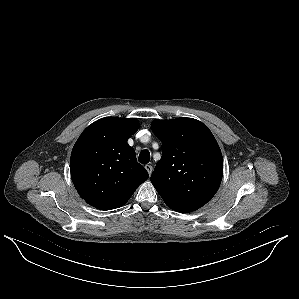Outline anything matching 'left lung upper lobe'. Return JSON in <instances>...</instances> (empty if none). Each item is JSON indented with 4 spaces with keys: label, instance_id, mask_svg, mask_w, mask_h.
Returning a JSON list of instances; mask_svg holds the SVG:
<instances>
[{
    "label": "left lung upper lobe",
    "instance_id": "left-lung-upper-lobe-1",
    "mask_svg": "<svg viewBox=\"0 0 299 299\" xmlns=\"http://www.w3.org/2000/svg\"><path fill=\"white\" fill-rule=\"evenodd\" d=\"M154 134L162 141V158L151 182L166 205L188 213L205 205L218 190L223 158L209 128L192 118L154 120Z\"/></svg>",
    "mask_w": 299,
    "mask_h": 299
}]
</instances>
